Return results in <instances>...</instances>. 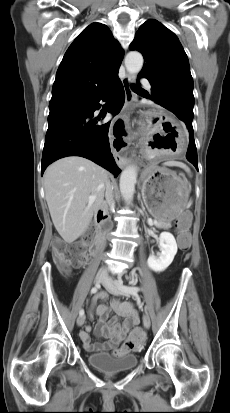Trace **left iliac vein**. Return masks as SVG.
<instances>
[{
    "label": "left iliac vein",
    "instance_id": "1",
    "mask_svg": "<svg viewBox=\"0 0 230 413\" xmlns=\"http://www.w3.org/2000/svg\"><path fill=\"white\" fill-rule=\"evenodd\" d=\"M119 285H122L121 282H114L112 281L111 278L106 277V279L103 281V286L106 288V290L113 294V295H126L119 289ZM143 325L145 328H149L151 325L150 317L147 313L144 314L143 316Z\"/></svg>",
    "mask_w": 230,
    "mask_h": 413
}]
</instances>
